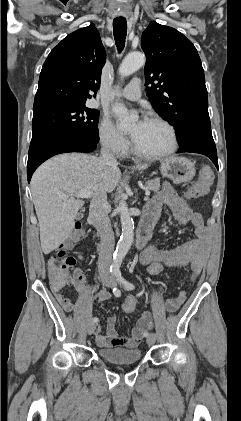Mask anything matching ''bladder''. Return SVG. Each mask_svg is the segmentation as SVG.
<instances>
[{"mask_svg":"<svg viewBox=\"0 0 241 421\" xmlns=\"http://www.w3.org/2000/svg\"><path fill=\"white\" fill-rule=\"evenodd\" d=\"M99 357L110 364L125 365L137 363L141 359V351L139 349H110L100 348L98 350Z\"/></svg>","mask_w":241,"mask_h":421,"instance_id":"obj_1","label":"bladder"}]
</instances>
